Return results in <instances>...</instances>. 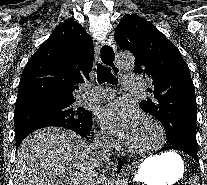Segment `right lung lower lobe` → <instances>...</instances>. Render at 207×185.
<instances>
[{
	"label": "right lung lower lobe",
	"mask_w": 207,
	"mask_h": 185,
	"mask_svg": "<svg viewBox=\"0 0 207 185\" xmlns=\"http://www.w3.org/2000/svg\"><path fill=\"white\" fill-rule=\"evenodd\" d=\"M64 128L73 130V131L77 132L78 134H80L82 137H85L92 128V122L87 125L80 126V127H64ZM30 133L31 132H26V133H23V134L15 137L16 138V149L19 147L20 143L24 140V138L26 136H28Z\"/></svg>",
	"instance_id": "1"
}]
</instances>
